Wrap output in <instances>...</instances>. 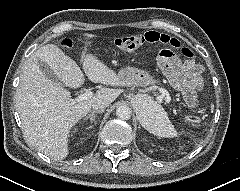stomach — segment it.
<instances>
[{
  "instance_id": "1",
  "label": "stomach",
  "mask_w": 240,
  "mask_h": 191,
  "mask_svg": "<svg viewBox=\"0 0 240 191\" xmlns=\"http://www.w3.org/2000/svg\"><path fill=\"white\" fill-rule=\"evenodd\" d=\"M118 75L125 86L146 87L157 82L149 71L135 67L123 68L119 71ZM135 106L140 119V117L145 113L146 108L138 104Z\"/></svg>"
}]
</instances>
